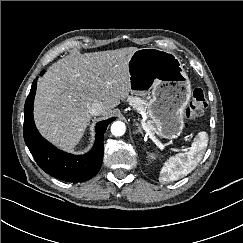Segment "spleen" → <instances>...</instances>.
<instances>
[{
  "label": "spleen",
  "mask_w": 243,
  "mask_h": 243,
  "mask_svg": "<svg viewBox=\"0 0 243 243\" xmlns=\"http://www.w3.org/2000/svg\"><path fill=\"white\" fill-rule=\"evenodd\" d=\"M208 145V135L201 131L194 138L188 152L170 157L160 171L159 181H176L195 169L201 161Z\"/></svg>",
  "instance_id": "1"
}]
</instances>
